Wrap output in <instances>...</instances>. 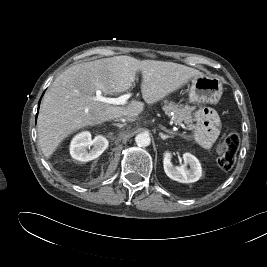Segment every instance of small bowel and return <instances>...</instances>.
Listing matches in <instances>:
<instances>
[{
    "label": "small bowel",
    "mask_w": 267,
    "mask_h": 267,
    "mask_svg": "<svg viewBox=\"0 0 267 267\" xmlns=\"http://www.w3.org/2000/svg\"><path fill=\"white\" fill-rule=\"evenodd\" d=\"M195 138L204 148L210 147L219 135L220 119L216 111L202 108L196 113Z\"/></svg>",
    "instance_id": "1"
}]
</instances>
